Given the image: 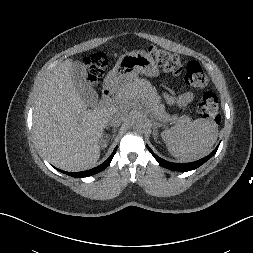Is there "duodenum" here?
<instances>
[{"label":"duodenum","instance_id":"duodenum-1","mask_svg":"<svg viewBox=\"0 0 253 253\" xmlns=\"http://www.w3.org/2000/svg\"><path fill=\"white\" fill-rule=\"evenodd\" d=\"M114 94V87L111 80H108L103 87L102 97L104 101L110 102Z\"/></svg>","mask_w":253,"mask_h":253}]
</instances>
